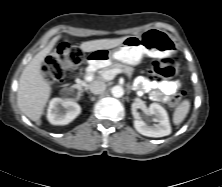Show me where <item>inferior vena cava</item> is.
I'll use <instances>...</instances> for the list:
<instances>
[{
    "instance_id": "602c4592",
    "label": "inferior vena cava",
    "mask_w": 222,
    "mask_h": 187,
    "mask_svg": "<svg viewBox=\"0 0 222 187\" xmlns=\"http://www.w3.org/2000/svg\"><path fill=\"white\" fill-rule=\"evenodd\" d=\"M89 89L93 94H101L106 89V84L101 80H95L90 83Z\"/></svg>"
}]
</instances>
